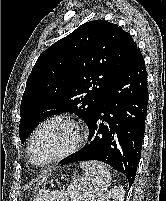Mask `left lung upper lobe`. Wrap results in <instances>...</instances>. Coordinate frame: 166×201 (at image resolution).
Masks as SVG:
<instances>
[{
  "label": "left lung upper lobe",
  "instance_id": "left-lung-upper-lobe-1",
  "mask_svg": "<svg viewBox=\"0 0 166 201\" xmlns=\"http://www.w3.org/2000/svg\"><path fill=\"white\" fill-rule=\"evenodd\" d=\"M137 48L120 26L94 20L44 51L22 97L21 142L40 121L55 114L73 112L88 124Z\"/></svg>",
  "mask_w": 166,
  "mask_h": 201
}]
</instances>
